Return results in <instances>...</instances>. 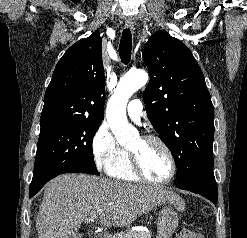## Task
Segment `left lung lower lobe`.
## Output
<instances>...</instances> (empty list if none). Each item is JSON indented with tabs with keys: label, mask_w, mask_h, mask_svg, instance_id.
<instances>
[{
	"label": "left lung lower lobe",
	"mask_w": 247,
	"mask_h": 238,
	"mask_svg": "<svg viewBox=\"0 0 247 238\" xmlns=\"http://www.w3.org/2000/svg\"><path fill=\"white\" fill-rule=\"evenodd\" d=\"M179 188L200 194L213 203L217 202V185L213 171L200 173Z\"/></svg>",
	"instance_id": "1"
}]
</instances>
